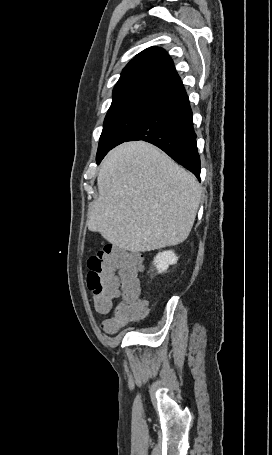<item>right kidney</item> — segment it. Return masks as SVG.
Wrapping results in <instances>:
<instances>
[{"instance_id":"right-kidney-1","label":"right kidney","mask_w":272,"mask_h":455,"mask_svg":"<svg viewBox=\"0 0 272 455\" xmlns=\"http://www.w3.org/2000/svg\"><path fill=\"white\" fill-rule=\"evenodd\" d=\"M178 257L173 251L159 252L154 258L153 264L156 266L158 273L165 272L169 265L176 264Z\"/></svg>"}]
</instances>
